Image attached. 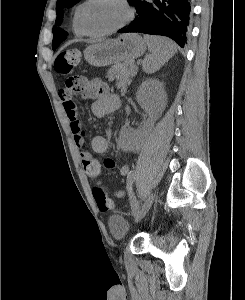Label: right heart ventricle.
<instances>
[{
    "instance_id": "obj_1",
    "label": "right heart ventricle",
    "mask_w": 245,
    "mask_h": 300,
    "mask_svg": "<svg viewBox=\"0 0 245 300\" xmlns=\"http://www.w3.org/2000/svg\"><path fill=\"white\" fill-rule=\"evenodd\" d=\"M78 7L74 11V15H73V19H72V26H73V30L75 31V33L82 34L83 32L81 31V29L79 28V26L76 22V12H77Z\"/></svg>"
}]
</instances>
